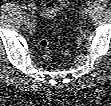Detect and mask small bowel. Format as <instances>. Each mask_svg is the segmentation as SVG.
Segmentation results:
<instances>
[{
    "instance_id": "obj_1",
    "label": "small bowel",
    "mask_w": 111,
    "mask_h": 106,
    "mask_svg": "<svg viewBox=\"0 0 111 106\" xmlns=\"http://www.w3.org/2000/svg\"><path fill=\"white\" fill-rule=\"evenodd\" d=\"M68 0H59L56 2H47L42 9V16L45 18L54 17L59 11L63 10L67 5Z\"/></svg>"
}]
</instances>
